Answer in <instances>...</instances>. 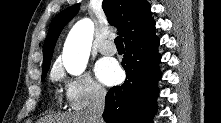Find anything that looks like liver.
<instances>
[{
    "mask_svg": "<svg viewBox=\"0 0 221 123\" xmlns=\"http://www.w3.org/2000/svg\"><path fill=\"white\" fill-rule=\"evenodd\" d=\"M47 123H91L88 116L83 113H73L49 118Z\"/></svg>",
    "mask_w": 221,
    "mask_h": 123,
    "instance_id": "obj_1",
    "label": "liver"
}]
</instances>
